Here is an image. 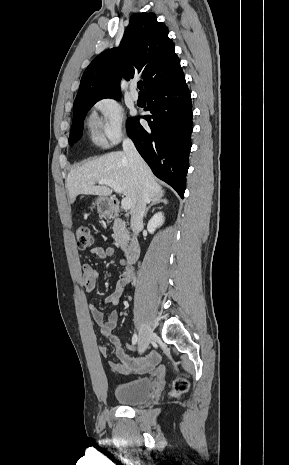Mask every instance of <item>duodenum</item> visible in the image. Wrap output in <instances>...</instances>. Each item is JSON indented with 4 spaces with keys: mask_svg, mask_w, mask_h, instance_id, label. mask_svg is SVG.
I'll return each instance as SVG.
<instances>
[{
    "mask_svg": "<svg viewBox=\"0 0 289 465\" xmlns=\"http://www.w3.org/2000/svg\"><path fill=\"white\" fill-rule=\"evenodd\" d=\"M108 213L112 217H116L119 214V203L116 199L110 201L107 208ZM140 255V246L136 240H132L125 251V257L129 264L135 263Z\"/></svg>",
    "mask_w": 289,
    "mask_h": 465,
    "instance_id": "1",
    "label": "duodenum"
}]
</instances>
